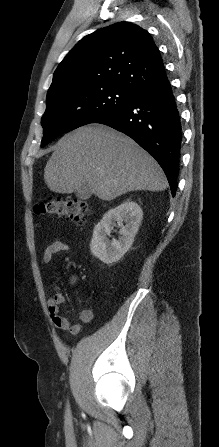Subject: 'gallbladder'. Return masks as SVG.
Returning <instances> with one entry per match:
<instances>
[{
    "mask_svg": "<svg viewBox=\"0 0 219 447\" xmlns=\"http://www.w3.org/2000/svg\"><path fill=\"white\" fill-rule=\"evenodd\" d=\"M75 194L79 199L88 200L92 195V191L87 185H83L75 191Z\"/></svg>",
    "mask_w": 219,
    "mask_h": 447,
    "instance_id": "obj_1",
    "label": "gallbladder"
}]
</instances>
